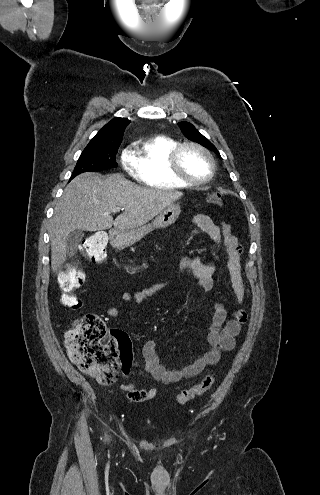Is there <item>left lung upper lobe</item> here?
<instances>
[{
  "mask_svg": "<svg viewBox=\"0 0 320 495\" xmlns=\"http://www.w3.org/2000/svg\"><path fill=\"white\" fill-rule=\"evenodd\" d=\"M179 126L186 138L214 151L220 157V154L216 147L207 138L200 134L192 124L188 122H180Z\"/></svg>",
  "mask_w": 320,
  "mask_h": 495,
  "instance_id": "left-lung-upper-lobe-1",
  "label": "left lung upper lobe"
}]
</instances>
